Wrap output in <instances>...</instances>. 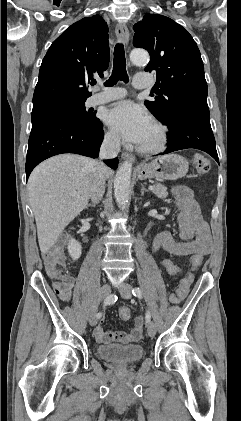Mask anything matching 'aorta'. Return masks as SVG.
<instances>
[{"instance_id":"obj_1","label":"aorta","mask_w":241,"mask_h":421,"mask_svg":"<svg viewBox=\"0 0 241 421\" xmlns=\"http://www.w3.org/2000/svg\"><path fill=\"white\" fill-rule=\"evenodd\" d=\"M130 60L135 65H146L149 62L148 52L144 49H134L130 53ZM132 163L123 162L114 179V195L116 202L124 210L129 202Z\"/></svg>"}]
</instances>
